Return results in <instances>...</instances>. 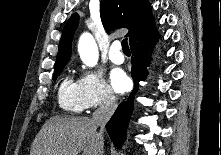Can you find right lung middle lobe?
<instances>
[{
  "label": "right lung middle lobe",
  "mask_w": 221,
  "mask_h": 155,
  "mask_svg": "<svg viewBox=\"0 0 221 155\" xmlns=\"http://www.w3.org/2000/svg\"><path fill=\"white\" fill-rule=\"evenodd\" d=\"M65 67V65L63 66H59V67H56L55 70H54V75H53V80H55L59 74L61 73L62 69Z\"/></svg>",
  "instance_id": "1"
}]
</instances>
